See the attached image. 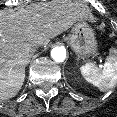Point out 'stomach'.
I'll list each match as a JSON object with an SVG mask.
<instances>
[{"label":"stomach","instance_id":"stomach-1","mask_svg":"<svg viewBox=\"0 0 117 117\" xmlns=\"http://www.w3.org/2000/svg\"><path fill=\"white\" fill-rule=\"evenodd\" d=\"M67 41L73 51L80 57H89L97 51V41L94 32L84 21L74 24Z\"/></svg>","mask_w":117,"mask_h":117}]
</instances>
